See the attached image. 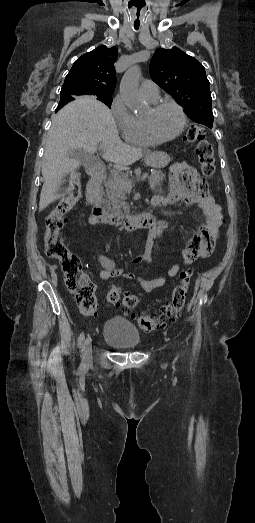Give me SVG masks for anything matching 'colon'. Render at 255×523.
<instances>
[{"label": "colon", "instance_id": "1", "mask_svg": "<svg viewBox=\"0 0 255 523\" xmlns=\"http://www.w3.org/2000/svg\"><path fill=\"white\" fill-rule=\"evenodd\" d=\"M186 141L196 144V155L201 172L206 177H211L215 172L214 151L207 140L202 127L193 125L186 133ZM81 195L79 179L73 174L69 191L53 211L47 216L45 222V251L48 257L60 262L64 281L69 291L74 295L80 311L86 315L94 314L98 309L95 295V285L84 272L79 257L72 253L60 240L59 234L66 222L67 215L74 208ZM192 271L184 270L179 276L170 293L169 302L157 314L139 313L135 321L139 328L152 331L173 322L180 315L189 290ZM108 303L122 305L125 311L134 308L138 298L132 293L121 296L117 288H110L106 293Z\"/></svg>", "mask_w": 255, "mask_h": 523}]
</instances>
